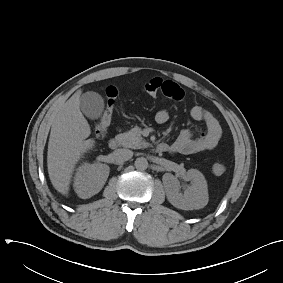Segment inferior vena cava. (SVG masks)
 Here are the masks:
<instances>
[{
  "label": "inferior vena cava",
  "mask_w": 283,
  "mask_h": 283,
  "mask_svg": "<svg viewBox=\"0 0 283 283\" xmlns=\"http://www.w3.org/2000/svg\"><path fill=\"white\" fill-rule=\"evenodd\" d=\"M114 159L118 162L128 161L132 158L133 152L129 149H117L113 152Z\"/></svg>",
  "instance_id": "602c4592"
}]
</instances>
